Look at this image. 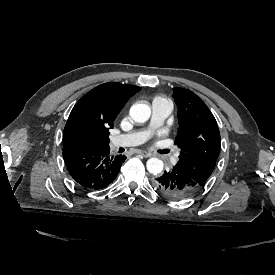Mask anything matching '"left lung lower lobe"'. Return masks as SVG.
<instances>
[{"mask_svg":"<svg viewBox=\"0 0 275 275\" xmlns=\"http://www.w3.org/2000/svg\"><path fill=\"white\" fill-rule=\"evenodd\" d=\"M153 186L162 195L174 200L189 198L202 187L178 165L157 177Z\"/></svg>","mask_w":275,"mask_h":275,"instance_id":"left-lung-lower-lobe-1","label":"left lung lower lobe"}]
</instances>
